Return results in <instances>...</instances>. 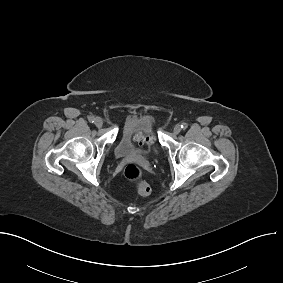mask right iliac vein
<instances>
[{
	"mask_svg": "<svg viewBox=\"0 0 283 283\" xmlns=\"http://www.w3.org/2000/svg\"><path fill=\"white\" fill-rule=\"evenodd\" d=\"M94 124H95L98 128H100V127H102V125H103V120H102L100 117H96V118H95V121H94Z\"/></svg>",
	"mask_w": 283,
	"mask_h": 283,
	"instance_id": "1",
	"label": "right iliac vein"
}]
</instances>
